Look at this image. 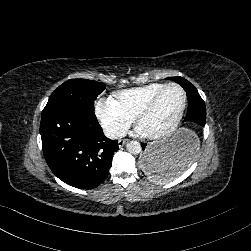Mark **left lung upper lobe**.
<instances>
[{"mask_svg":"<svg viewBox=\"0 0 251 251\" xmlns=\"http://www.w3.org/2000/svg\"><path fill=\"white\" fill-rule=\"evenodd\" d=\"M168 79L179 83L186 91L187 96H195L200 100L202 99L200 97L199 93L197 92V89L186 79H184L182 77H170Z\"/></svg>","mask_w":251,"mask_h":251,"instance_id":"obj_1","label":"left lung upper lobe"}]
</instances>
